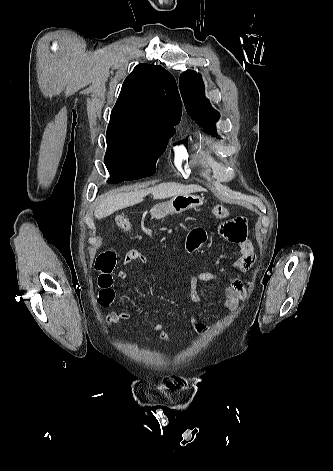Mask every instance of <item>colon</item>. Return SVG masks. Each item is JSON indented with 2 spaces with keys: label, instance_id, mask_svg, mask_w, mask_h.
<instances>
[{
  "label": "colon",
  "instance_id": "colon-1",
  "mask_svg": "<svg viewBox=\"0 0 333 471\" xmlns=\"http://www.w3.org/2000/svg\"><path fill=\"white\" fill-rule=\"evenodd\" d=\"M212 213L217 218H226L229 214L228 209L224 206L217 205L212 209ZM116 225L122 230L128 231L131 229L130 220L122 215L115 219ZM117 262V254L113 249H108L101 252L95 261V269L98 272V285L100 287L99 301L102 305L108 306L113 300V278L112 273L115 269ZM143 340L151 341L150 336H143Z\"/></svg>",
  "mask_w": 333,
  "mask_h": 471
}]
</instances>
